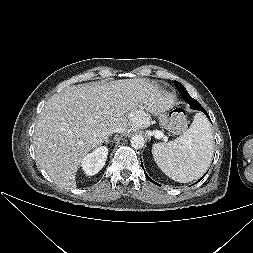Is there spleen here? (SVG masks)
Wrapping results in <instances>:
<instances>
[{
    "label": "spleen",
    "instance_id": "spleen-1",
    "mask_svg": "<svg viewBox=\"0 0 253 253\" xmlns=\"http://www.w3.org/2000/svg\"><path fill=\"white\" fill-rule=\"evenodd\" d=\"M213 135L209 121L197 113L190 128L176 140L155 143L153 158L168 177L188 183L201 177L212 161Z\"/></svg>",
    "mask_w": 253,
    "mask_h": 253
}]
</instances>
